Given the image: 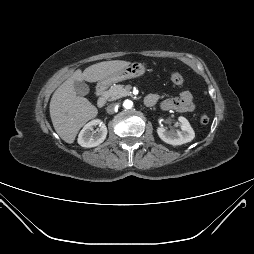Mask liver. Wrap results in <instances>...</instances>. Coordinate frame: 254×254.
Here are the masks:
<instances>
[{
    "label": "liver",
    "mask_w": 254,
    "mask_h": 254,
    "mask_svg": "<svg viewBox=\"0 0 254 254\" xmlns=\"http://www.w3.org/2000/svg\"><path fill=\"white\" fill-rule=\"evenodd\" d=\"M122 60L104 61L89 66L83 72L76 70L54 92L50 102V117L57 134L67 143H73L81 127L98 114L97 108L87 99L77 96L76 81L97 82L129 66Z\"/></svg>",
    "instance_id": "1"
}]
</instances>
